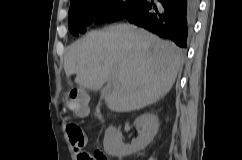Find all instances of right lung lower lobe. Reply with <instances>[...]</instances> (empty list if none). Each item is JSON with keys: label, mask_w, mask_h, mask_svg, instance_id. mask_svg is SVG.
<instances>
[{"label": "right lung lower lobe", "mask_w": 242, "mask_h": 160, "mask_svg": "<svg viewBox=\"0 0 242 160\" xmlns=\"http://www.w3.org/2000/svg\"><path fill=\"white\" fill-rule=\"evenodd\" d=\"M198 4L199 0H141L121 19H127L186 48L187 35L195 20Z\"/></svg>", "instance_id": "right-lung-lower-lobe-1"}]
</instances>
